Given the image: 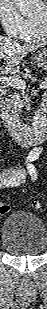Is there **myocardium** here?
I'll return each mask as SVG.
<instances>
[{
    "label": "myocardium",
    "instance_id": "myocardium-1",
    "mask_svg": "<svg viewBox=\"0 0 47 309\" xmlns=\"http://www.w3.org/2000/svg\"><path fill=\"white\" fill-rule=\"evenodd\" d=\"M33 24H34L37 32L39 33V35L43 38L45 36V32H46L47 18L45 19L44 23H41V22H38V21H33Z\"/></svg>",
    "mask_w": 47,
    "mask_h": 309
}]
</instances>
